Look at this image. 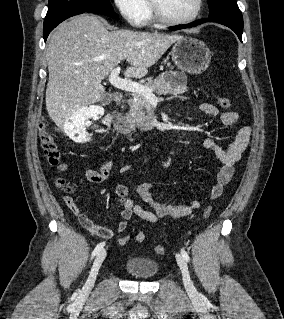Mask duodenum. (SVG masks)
<instances>
[{
  "instance_id": "410a0bca",
  "label": "duodenum",
  "mask_w": 284,
  "mask_h": 319,
  "mask_svg": "<svg viewBox=\"0 0 284 319\" xmlns=\"http://www.w3.org/2000/svg\"><path fill=\"white\" fill-rule=\"evenodd\" d=\"M121 98H122V96L119 93H115L113 95V99L116 102V104H118L121 101ZM113 126L117 132H119L127 137H131L132 130L130 128V125L117 110L113 111Z\"/></svg>"
}]
</instances>
